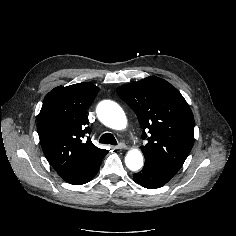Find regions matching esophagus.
<instances>
[{
  "label": "esophagus",
  "mask_w": 236,
  "mask_h": 236,
  "mask_svg": "<svg viewBox=\"0 0 236 236\" xmlns=\"http://www.w3.org/2000/svg\"><path fill=\"white\" fill-rule=\"evenodd\" d=\"M115 148L116 149H127V145L124 143H119Z\"/></svg>",
  "instance_id": "1"
}]
</instances>
